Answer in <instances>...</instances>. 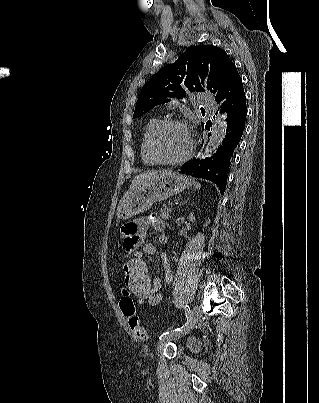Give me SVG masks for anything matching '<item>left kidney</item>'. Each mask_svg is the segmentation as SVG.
Masks as SVG:
<instances>
[{
	"label": "left kidney",
	"mask_w": 319,
	"mask_h": 403,
	"mask_svg": "<svg viewBox=\"0 0 319 403\" xmlns=\"http://www.w3.org/2000/svg\"><path fill=\"white\" fill-rule=\"evenodd\" d=\"M188 218H189L190 221L195 220V217L193 216V213H191Z\"/></svg>",
	"instance_id": "5707ae66"
}]
</instances>
